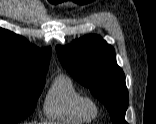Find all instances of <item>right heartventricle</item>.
<instances>
[{"instance_id": "right-heart-ventricle-1", "label": "right heart ventricle", "mask_w": 156, "mask_h": 124, "mask_svg": "<svg viewBox=\"0 0 156 124\" xmlns=\"http://www.w3.org/2000/svg\"><path fill=\"white\" fill-rule=\"evenodd\" d=\"M84 94L65 74L57 75L50 85L44 102V113L50 120L69 124L89 123L96 115L86 114L81 108Z\"/></svg>"}]
</instances>
